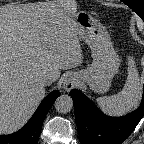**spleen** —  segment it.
I'll use <instances>...</instances> for the list:
<instances>
[{"label":"spleen","instance_id":"obj_1","mask_svg":"<svg viewBox=\"0 0 144 144\" xmlns=\"http://www.w3.org/2000/svg\"><path fill=\"white\" fill-rule=\"evenodd\" d=\"M142 81L134 61L129 62L128 76L123 89L112 96L97 98L101 110L110 116H121L136 107L141 98Z\"/></svg>","mask_w":144,"mask_h":144}]
</instances>
